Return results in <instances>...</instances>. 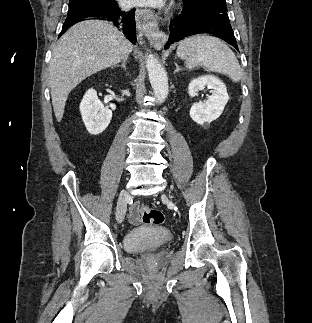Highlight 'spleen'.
I'll list each match as a JSON object with an SVG mask.
<instances>
[{
    "instance_id": "3e777b00",
    "label": "spleen",
    "mask_w": 312,
    "mask_h": 323,
    "mask_svg": "<svg viewBox=\"0 0 312 323\" xmlns=\"http://www.w3.org/2000/svg\"><path fill=\"white\" fill-rule=\"evenodd\" d=\"M177 56L185 60L187 68L203 66L210 72L226 74L232 82H239L242 76L238 60L232 50L219 38L207 34H196L181 40Z\"/></svg>"
}]
</instances>
